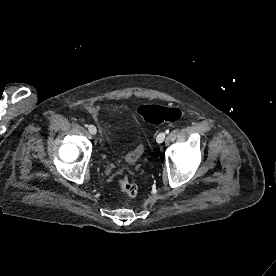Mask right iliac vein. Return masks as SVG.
Masks as SVG:
<instances>
[{"instance_id":"63e3f726","label":"right iliac vein","mask_w":276,"mask_h":276,"mask_svg":"<svg viewBox=\"0 0 276 276\" xmlns=\"http://www.w3.org/2000/svg\"><path fill=\"white\" fill-rule=\"evenodd\" d=\"M88 130H89V132H90L91 134H93V135H95L96 132H97V129H96V127H95L94 125H89V126H88Z\"/></svg>"}]
</instances>
